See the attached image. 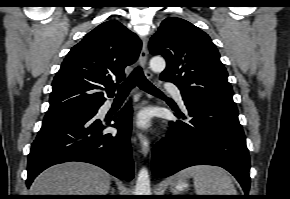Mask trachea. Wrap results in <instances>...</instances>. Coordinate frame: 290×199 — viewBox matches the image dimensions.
<instances>
[{"mask_svg":"<svg viewBox=\"0 0 290 199\" xmlns=\"http://www.w3.org/2000/svg\"><path fill=\"white\" fill-rule=\"evenodd\" d=\"M140 87L142 90L154 95L164 96V94L150 83L143 74L140 66L136 67L128 79L118 87V96H126L135 86Z\"/></svg>","mask_w":290,"mask_h":199,"instance_id":"3493384b","label":"trachea"}]
</instances>
